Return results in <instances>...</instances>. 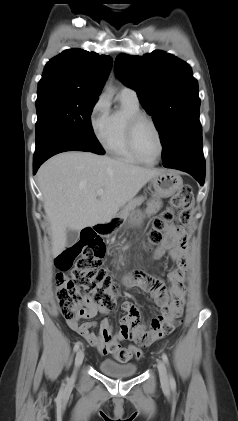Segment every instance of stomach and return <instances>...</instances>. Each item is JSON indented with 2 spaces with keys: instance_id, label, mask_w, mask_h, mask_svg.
Masks as SVG:
<instances>
[{
  "instance_id": "1",
  "label": "stomach",
  "mask_w": 238,
  "mask_h": 421,
  "mask_svg": "<svg viewBox=\"0 0 238 421\" xmlns=\"http://www.w3.org/2000/svg\"><path fill=\"white\" fill-rule=\"evenodd\" d=\"M150 185L154 189V196L166 198L172 196L183 187V180L174 170H163L150 180ZM128 216V223L132 227H138L143 222V214L138 209H133ZM119 226H121V222L116 221L110 230H116Z\"/></svg>"
}]
</instances>
